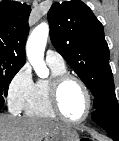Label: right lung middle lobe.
I'll use <instances>...</instances> for the list:
<instances>
[{
	"label": "right lung middle lobe",
	"instance_id": "dd1d6c3e",
	"mask_svg": "<svg viewBox=\"0 0 119 141\" xmlns=\"http://www.w3.org/2000/svg\"><path fill=\"white\" fill-rule=\"evenodd\" d=\"M20 69H0V110L4 106V97L7 96L8 87Z\"/></svg>",
	"mask_w": 119,
	"mask_h": 141
}]
</instances>
